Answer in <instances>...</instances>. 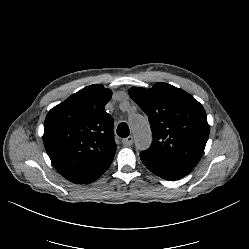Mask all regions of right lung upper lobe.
Instances as JSON below:
<instances>
[{"instance_id": "cb5924a9", "label": "right lung upper lobe", "mask_w": 249, "mask_h": 249, "mask_svg": "<svg viewBox=\"0 0 249 249\" xmlns=\"http://www.w3.org/2000/svg\"><path fill=\"white\" fill-rule=\"evenodd\" d=\"M112 91L94 84L52 108L44 123L43 142L56 170L69 181L83 184L113 161V118L104 107Z\"/></svg>"}]
</instances>
